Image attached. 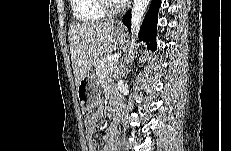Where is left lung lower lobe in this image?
Returning <instances> with one entry per match:
<instances>
[{
    "instance_id": "1",
    "label": "left lung lower lobe",
    "mask_w": 231,
    "mask_h": 151,
    "mask_svg": "<svg viewBox=\"0 0 231 151\" xmlns=\"http://www.w3.org/2000/svg\"><path fill=\"white\" fill-rule=\"evenodd\" d=\"M161 0H152L148 13L142 23L139 39L146 42L148 48L156 50L157 18ZM123 23L131 30V12L128 11L122 19Z\"/></svg>"
}]
</instances>
